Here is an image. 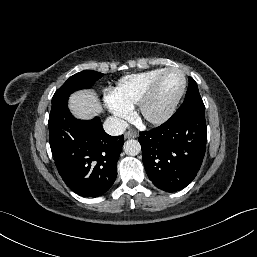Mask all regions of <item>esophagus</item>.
<instances>
[{"label": "esophagus", "mask_w": 257, "mask_h": 257, "mask_svg": "<svg viewBox=\"0 0 257 257\" xmlns=\"http://www.w3.org/2000/svg\"><path fill=\"white\" fill-rule=\"evenodd\" d=\"M137 137V134L133 131H127L125 134H124V138L125 139H130V138H136Z\"/></svg>", "instance_id": "esophagus-1"}]
</instances>
